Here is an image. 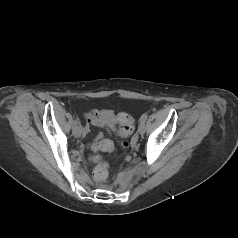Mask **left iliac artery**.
<instances>
[{"mask_svg": "<svg viewBox=\"0 0 238 238\" xmlns=\"http://www.w3.org/2000/svg\"><path fill=\"white\" fill-rule=\"evenodd\" d=\"M147 117H148V115H147L146 113L143 114V115L141 116V118H140V122L145 123L146 120H147Z\"/></svg>", "mask_w": 238, "mask_h": 238, "instance_id": "obj_1", "label": "left iliac artery"}]
</instances>
